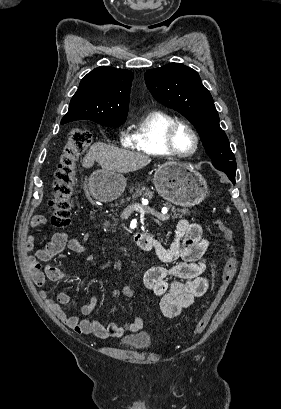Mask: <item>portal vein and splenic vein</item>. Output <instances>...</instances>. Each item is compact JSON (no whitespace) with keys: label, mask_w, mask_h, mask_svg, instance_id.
<instances>
[{"label":"portal vein and splenic vein","mask_w":281,"mask_h":409,"mask_svg":"<svg viewBox=\"0 0 281 409\" xmlns=\"http://www.w3.org/2000/svg\"><path fill=\"white\" fill-rule=\"evenodd\" d=\"M131 208L133 210H139L140 212H142V216L143 217H152L154 219H159L161 216L160 221H164L167 220L169 217L168 215H162V212L160 210H158L157 206H145L143 203H137L136 201L132 202Z\"/></svg>","instance_id":"18ae733b"}]
</instances>
